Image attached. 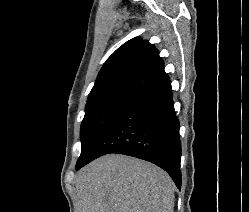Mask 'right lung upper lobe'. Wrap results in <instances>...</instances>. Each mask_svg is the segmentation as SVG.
Instances as JSON below:
<instances>
[{"mask_svg":"<svg viewBox=\"0 0 249 212\" xmlns=\"http://www.w3.org/2000/svg\"><path fill=\"white\" fill-rule=\"evenodd\" d=\"M169 80L159 51L140 37L120 46L105 62L88 99L112 93L141 95Z\"/></svg>","mask_w":249,"mask_h":212,"instance_id":"obj_1","label":"right lung upper lobe"}]
</instances>
